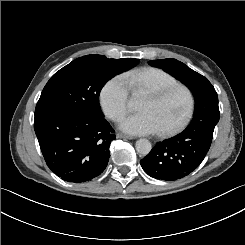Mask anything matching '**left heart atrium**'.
<instances>
[{
	"label": "left heart atrium",
	"mask_w": 245,
	"mask_h": 245,
	"mask_svg": "<svg viewBox=\"0 0 245 245\" xmlns=\"http://www.w3.org/2000/svg\"><path fill=\"white\" fill-rule=\"evenodd\" d=\"M120 127L132 134H152L160 131L156 120L146 111L125 118Z\"/></svg>",
	"instance_id": "1"
}]
</instances>
